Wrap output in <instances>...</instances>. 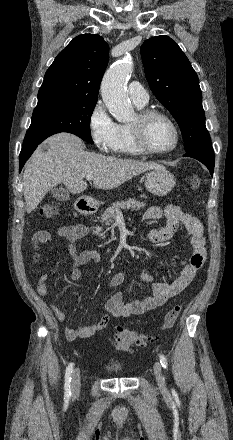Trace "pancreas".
<instances>
[{"label": "pancreas", "mask_w": 233, "mask_h": 440, "mask_svg": "<svg viewBox=\"0 0 233 440\" xmlns=\"http://www.w3.org/2000/svg\"><path fill=\"white\" fill-rule=\"evenodd\" d=\"M146 206L144 202L136 201L135 199H128L126 201H120L113 203L101 214V222L106 225H110L115 220L118 212L124 209H130L132 211H138ZM94 234L98 235L100 238L105 239V234L101 233V227L96 226Z\"/></svg>", "instance_id": "obj_1"}]
</instances>
